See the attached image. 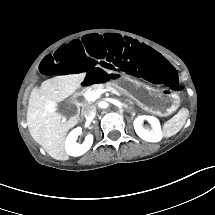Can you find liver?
<instances>
[{
	"instance_id": "obj_1",
	"label": "liver",
	"mask_w": 215,
	"mask_h": 215,
	"mask_svg": "<svg viewBox=\"0 0 215 215\" xmlns=\"http://www.w3.org/2000/svg\"><path fill=\"white\" fill-rule=\"evenodd\" d=\"M85 72L59 75L43 81L40 88L30 94L27 111V126L32 138L41 144L55 159L65 155L64 142L77 117H66L56 113V102L72 95L84 79Z\"/></svg>"
}]
</instances>
